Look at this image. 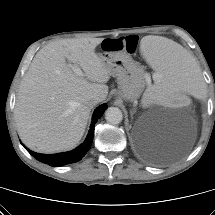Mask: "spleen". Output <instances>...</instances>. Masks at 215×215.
I'll return each mask as SVG.
<instances>
[{"mask_svg": "<svg viewBox=\"0 0 215 215\" xmlns=\"http://www.w3.org/2000/svg\"><path fill=\"white\" fill-rule=\"evenodd\" d=\"M141 51L156 72V83L143 94L144 104L147 96L202 97L205 82L198 73L200 62L194 53L158 37H144Z\"/></svg>", "mask_w": 215, "mask_h": 215, "instance_id": "obj_1", "label": "spleen"}]
</instances>
